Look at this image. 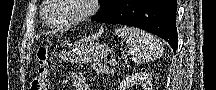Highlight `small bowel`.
<instances>
[{
    "label": "small bowel",
    "instance_id": "1",
    "mask_svg": "<svg viewBox=\"0 0 216 90\" xmlns=\"http://www.w3.org/2000/svg\"><path fill=\"white\" fill-rule=\"evenodd\" d=\"M71 81L74 86V90H91L90 85L87 83V80L82 73H72Z\"/></svg>",
    "mask_w": 216,
    "mask_h": 90
}]
</instances>
